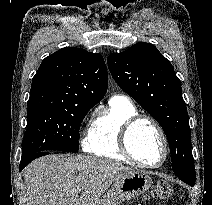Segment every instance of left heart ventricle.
<instances>
[{"label": "left heart ventricle", "instance_id": "left-heart-ventricle-1", "mask_svg": "<svg viewBox=\"0 0 212 205\" xmlns=\"http://www.w3.org/2000/svg\"><path fill=\"white\" fill-rule=\"evenodd\" d=\"M129 143L132 153L141 162L158 163L163 156L161 139L149 122L142 121L133 128Z\"/></svg>", "mask_w": 212, "mask_h": 205}]
</instances>
